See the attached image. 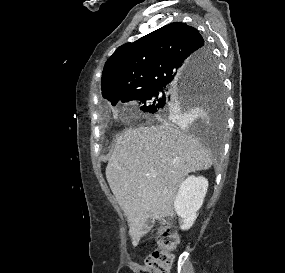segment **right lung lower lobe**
Here are the masks:
<instances>
[{
    "instance_id": "right-lung-lower-lobe-1",
    "label": "right lung lower lobe",
    "mask_w": 285,
    "mask_h": 273,
    "mask_svg": "<svg viewBox=\"0 0 285 273\" xmlns=\"http://www.w3.org/2000/svg\"><path fill=\"white\" fill-rule=\"evenodd\" d=\"M207 65V62L206 60L202 61L198 66H197V70L198 72H201L203 70V68ZM189 78V75L185 76L184 78H182L180 81H178L176 84L179 86V87H182V86H187L188 85V80Z\"/></svg>"
}]
</instances>
